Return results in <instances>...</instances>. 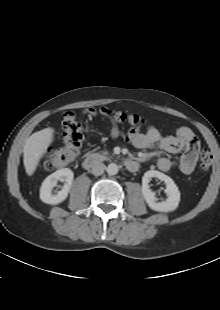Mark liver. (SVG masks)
Wrapping results in <instances>:
<instances>
[{
	"mask_svg": "<svg viewBox=\"0 0 220 310\" xmlns=\"http://www.w3.org/2000/svg\"><path fill=\"white\" fill-rule=\"evenodd\" d=\"M54 129L45 128L33 133L23 147V163L27 175L34 174L40 160L53 142Z\"/></svg>",
	"mask_w": 220,
	"mask_h": 310,
	"instance_id": "liver-1",
	"label": "liver"
}]
</instances>
